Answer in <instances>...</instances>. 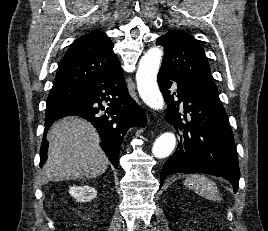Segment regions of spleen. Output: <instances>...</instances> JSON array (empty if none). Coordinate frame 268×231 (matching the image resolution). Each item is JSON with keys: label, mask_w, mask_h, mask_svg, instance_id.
Returning a JSON list of instances; mask_svg holds the SVG:
<instances>
[{"label": "spleen", "mask_w": 268, "mask_h": 231, "mask_svg": "<svg viewBox=\"0 0 268 231\" xmlns=\"http://www.w3.org/2000/svg\"><path fill=\"white\" fill-rule=\"evenodd\" d=\"M184 184L206 199L221 200L215 183L203 175L193 174L185 179Z\"/></svg>", "instance_id": "obj_1"}]
</instances>
